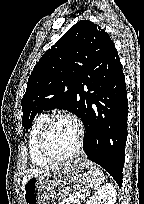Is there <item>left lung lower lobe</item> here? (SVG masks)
I'll return each instance as SVG.
<instances>
[{
  "label": "left lung lower lobe",
  "instance_id": "left-lung-lower-lobe-1",
  "mask_svg": "<svg viewBox=\"0 0 144 204\" xmlns=\"http://www.w3.org/2000/svg\"><path fill=\"white\" fill-rule=\"evenodd\" d=\"M84 149L122 185L127 140V93L120 59L87 69Z\"/></svg>",
  "mask_w": 144,
  "mask_h": 204
}]
</instances>
